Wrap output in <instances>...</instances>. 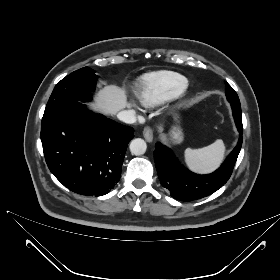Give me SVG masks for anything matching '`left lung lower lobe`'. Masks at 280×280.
Instances as JSON below:
<instances>
[{
	"label": "left lung lower lobe",
	"instance_id": "left-lung-lower-lobe-1",
	"mask_svg": "<svg viewBox=\"0 0 280 280\" xmlns=\"http://www.w3.org/2000/svg\"><path fill=\"white\" fill-rule=\"evenodd\" d=\"M234 120L240 133L237 146L215 172L208 175L194 174L185 169L169 148L155 145L154 161L162 186L179 201H192L209 196L220 189L230 178L242 146V113L239 106L231 105Z\"/></svg>",
	"mask_w": 280,
	"mask_h": 280
}]
</instances>
